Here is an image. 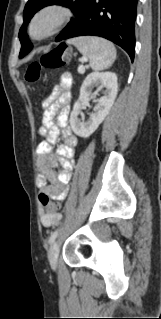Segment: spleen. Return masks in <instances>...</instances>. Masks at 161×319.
I'll return each instance as SVG.
<instances>
[{"mask_svg": "<svg viewBox=\"0 0 161 319\" xmlns=\"http://www.w3.org/2000/svg\"><path fill=\"white\" fill-rule=\"evenodd\" d=\"M71 43L79 50L86 60L89 61L93 70L109 68L116 59L114 45L100 37H78Z\"/></svg>", "mask_w": 161, "mask_h": 319, "instance_id": "spleen-1", "label": "spleen"}]
</instances>
